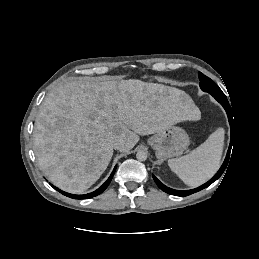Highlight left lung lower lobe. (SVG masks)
Here are the masks:
<instances>
[{"label": "left lung lower lobe", "mask_w": 259, "mask_h": 259, "mask_svg": "<svg viewBox=\"0 0 259 259\" xmlns=\"http://www.w3.org/2000/svg\"><path fill=\"white\" fill-rule=\"evenodd\" d=\"M219 103H221V105L224 107V109L226 110L227 112V115H228V119H229V122H230V126H231V142H230V146H229V149H228V152H227V156L225 158V161L223 163V165L221 166V168L219 169V171L215 174V176L209 180L208 182H206L205 184L201 185L200 187L198 188H195V189H192V190H186V191H179V190H174V189H171L169 187H166L164 184H162L155 176H153V179L155 180L156 184L158 185V187L163 190L164 192L168 193V194H171V195H175V196H188L190 194H193L195 192H198L206 187H208L210 184H212L214 181H216L221 175L222 173L224 172L227 164H228V160H229V156H230V151H231V147H232V144H233V140H232V113H231V108H230V105H229V102L225 96V94L223 95H212Z\"/></svg>", "instance_id": "0a47b994"}]
</instances>
